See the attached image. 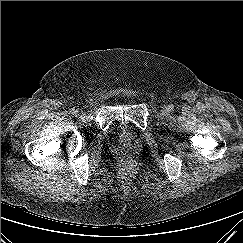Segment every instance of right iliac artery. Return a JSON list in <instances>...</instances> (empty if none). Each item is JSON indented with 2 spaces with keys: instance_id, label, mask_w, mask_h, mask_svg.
<instances>
[{
  "instance_id": "right-iliac-artery-1",
  "label": "right iliac artery",
  "mask_w": 243,
  "mask_h": 243,
  "mask_svg": "<svg viewBox=\"0 0 243 243\" xmlns=\"http://www.w3.org/2000/svg\"><path fill=\"white\" fill-rule=\"evenodd\" d=\"M70 113L71 114H75L76 113V110L72 108V109H70Z\"/></svg>"
}]
</instances>
